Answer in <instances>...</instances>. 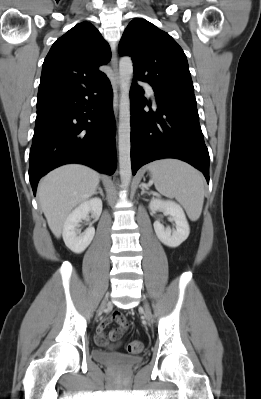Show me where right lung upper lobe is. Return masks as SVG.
Here are the masks:
<instances>
[{"instance_id": "1", "label": "right lung upper lobe", "mask_w": 261, "mask_h": 399, "mask_svg": "<svg viewBox=\"0 0 261 399\" xmlns=\"http://www.w3.org/2000/svg\"><path fill=\"white\" fill-rule=\"evenodd\" d=\"M110 59L108 43L91 23L75 25L54 42L44 60L37 102L95 84L106 76L98 67Z\"/></svg>"}]
</instances>
